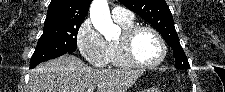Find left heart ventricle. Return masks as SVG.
Here are the masks:
<instances>
[{
  "label": "left heart ventricle",
  "instance_id": "b2bd125f",
  "mask_svg": "<svg viewBox=\"0 0 225 92\" xmlns=\"http://www.w3.org/2000/svg\"><path fill=\"white\" fill-rule=\"evenodd\" d=\"M132 53L141 63H152L161 55V47L156 37L149 31H140L134 38Z\"/></svg>",
  "mask_w": 225,
  "mask_h": 92
}]
</instances>
